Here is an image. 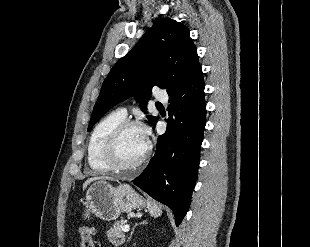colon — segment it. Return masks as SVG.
Returning a JSON list of instances; mask_svg holds the SVG:
<instances>
[{"label":"colon","mask_w":310,"mask_h":247,"mask_svg":"<svg viewBox=\"0 0 310 247\" xmlns=\"http://www.w3.org/2000/svg\"><path fill=\"white\" fill-rule=\"evenodd\" d=\"M81 243L80 247H95L93 239L94 230L91 227L84 226L80 229Z\"/></svg>","instance_id":"colon-1"}]
</instances>
